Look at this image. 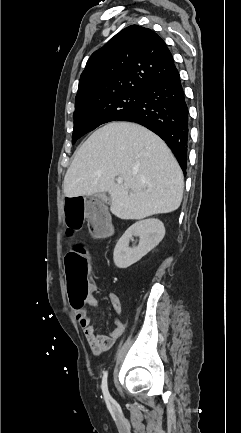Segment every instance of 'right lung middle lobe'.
I'll use <instances>...</instances> for the list:
<instances>
[{
  "label": "right lung middle lobe",
  "instance_id": "obj_1",
  "mask_svg": "<svg viewBox=\"0 0 241 433\" xmlns=\"http://www.w3.org/2000/svg\"><path fill=\"white\" fill-rule=\"evenodd\" d=\"M141 91H127L75 104L72 144L101 124L120 120L141 102Z\"/></svg>",
  "mask_w": 241,
  "mask_h": 433
}]
</instances>
